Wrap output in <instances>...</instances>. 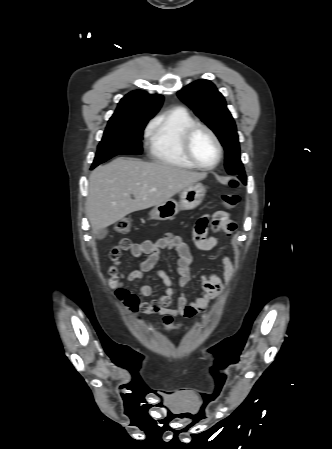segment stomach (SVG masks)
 I'll return each mask as SVG.
<instances>
[{"instance_id": "0dacf381", "label": "stomach", "mask_w": 332, "mask_h": 449, "mask_svg": "<svg viewBox=\"0 0 332 449\" xmlns=\"http://www.w3.org/2000/svg\"><path fill=\"white\" fill-rule=\"evenodd\" d=\"M206 194V188L201 183L192 184L180 193V200L174 199L155 206L149 213L153 220H171L180 210H193L198 207Z\"/></svg>"}]
</instances>
